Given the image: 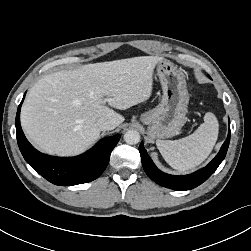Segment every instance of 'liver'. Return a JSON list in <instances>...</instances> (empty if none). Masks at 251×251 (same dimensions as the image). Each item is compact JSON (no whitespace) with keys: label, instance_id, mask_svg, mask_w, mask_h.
<instances>
[{"label":"liver","instance_id":"6515ba94","mask_svg":"<svg viewBox=\"0 0 251 251\" xmlns=\"http://www.w3.org/2000/svg\"><path fill=\"white\" fill-rule=\"evenodd\" d=\"M161 60L140 56L42 77L29 90L21 109L26 136L48 154L83 152L99 138V118L111 120L116 127L124 121L106 102L125 110L150 97L153 70Z\"/></svg>","mask_w":251,"mask_h":251}]
</instances>
